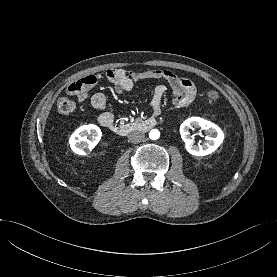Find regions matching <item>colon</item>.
<instances>
[{
	"instance_id": "1",
	"label": "colon",
	"mask_w": 277,
	"mask_h": 277,
	"mask_svg": "<svg viewBox=\"0 0 277 277\" xmlns=\"http://www.w3.org/2000/svg\"><path fill=\"white\" fill-rule=\"evenodd\" d=\"M85 89V82L82 80L77 81V84L73 87L76 92L83 91ZM206 101L210 105H215L220 102L221 94L216 90H208L205 94ZM76 109V104L68 97H61L57 101V111L61 115H69Z\"/></svg>"
}]
</instances>
